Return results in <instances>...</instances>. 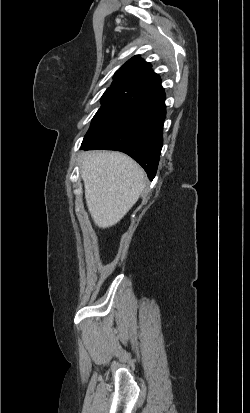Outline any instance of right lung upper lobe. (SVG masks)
Returning <instances> with one entry per match:
<instances>
[{"instance_id":"obj_1","label":"right lung upper lobe","mask_w":250,"mask_h":413,"mask_svg":"<svg viewBox=\"0 0 250 413\" xmlns=\"http://www.w3.org/2000/svg\"><path fill=\"white\" fill-rule=\"evenodd\" d=\"M107 90L133 93L137 97L164 92L158 74L153 72L150 63L138 56L132 57L115 73Z\"/></svg>"}]
</instances>
